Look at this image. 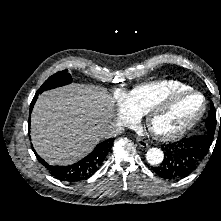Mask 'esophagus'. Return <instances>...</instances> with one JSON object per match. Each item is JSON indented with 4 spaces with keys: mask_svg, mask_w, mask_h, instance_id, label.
I'll return each instance as SVG.
<instances>
[{
    "mask_svg": "<svg viewBox=\"0 0 221 221\" xmlns=\"http://www.w3.org/2000/svg\"><path fill=\"white\" fill-rule=\"evenodd\" d=\"M136 141L139 144V146H141L143 148H146V147L149 146L148 143L145 140L141 139V138H137Z\"/></svg>",
    "mask_w": 221,
    "mask_h": 221,
    "instance_id": "1",
    "label": "esophagus"
}]
</instances>
